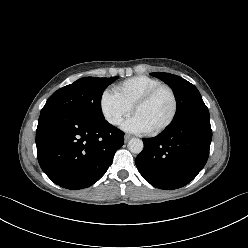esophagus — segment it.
<instances>
[{
  "label": "esophagus",
  "mask_w": 248,
  "mask_h": 248,
  "mask_svg": "<svg viewBox=\"0 0 248 248\" xmlns=\"http://www.w3.org/2000/svg\"><path fill=\"white\" fill-rule=\"evenodd\" d=\"M131 138H132V136L129 135V134H125V136H124V139H125L126 142H127L128 140H130Z\"/></svg>",
  "instance_id": "34e87169"
}]
</instances>
